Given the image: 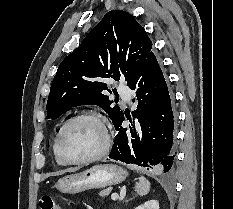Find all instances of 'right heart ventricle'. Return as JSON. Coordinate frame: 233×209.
<instances>
[{
  "mask_svg": "<svg viewBox=\"0 0 233 209\" xmlns=\"http://www.w3.org/2000/svg\"><path fill=\"white\" fill-rule=\"evenodd\" d=\"M60 130V129H59ZM59 130L56 132L54 138H53V142H52V152H53V155H54V159L56 161V163L58 165H64V163L58 158L57 154H56V141H57V136H58V133H59Z\"/></svg>",
  "mask_w": 233,
  "mask_h": 209,
  "instance_id": "1",
  "label": "right heart ventricle"
}]
</instances>
